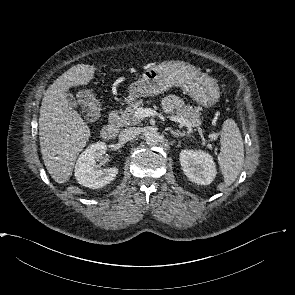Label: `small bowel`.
Listing matches in <instances>:
<instances>
[{
    "label": "small bowel",
    "instance_id": "1",
    "mask_svg": "<svg viewBox=\"0 0 295 295\" xmlns=\"http://www.w3.org/2000/svg\"><path fill=\"white\" fill-rule=\"evenodd\" d=\"M162 105L166 112L171 113L182 107L183 102L178 96L169 95L163 99Z\"/></svg>",
    "mask_w": 295,
    "mask_h": 295
}]
</instances>
